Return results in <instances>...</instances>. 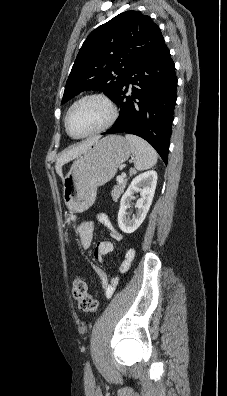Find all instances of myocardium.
Masks as SVG:
<instances>
[{
    "label": "myocardium",
    "mask_w": 227,
    "mask_h": 396,
    "mask_svg": "<svg viewBox=\"0 0 227 396\" xmlns=\"http://www.w3.org/2000/svg\"><path fill=\"white\" fill-rule=\"evenodd\" d=\"M90 99H98V100L102 101L107 106V108L109 110V117H108L107 121L104 124H102L100 127H98L97 129H95L87 134H84V135H74L69 128V124H68L69 116H70L72 110L77 105H79L80 103H82L86 100H90ZM118 116H119L118 108L110 97H108L107 95L100 93V92H91V93L82 95L81 97L76 99L69 106V108L65 114L64 126H65L67 134L70 137H72L74 139H84V138H89V137L98 135V134L108 130L109 128H111L114 125V123L117 121Z\"/></svg>",
    "instance_id": "1"
}]
</instances>
